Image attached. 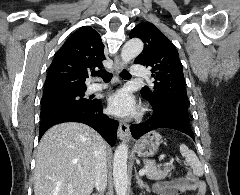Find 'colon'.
<instances>
[{
    "label": "colon",
    "instance_id": "5ec220e1",
    "mask_svg": "<svg viewBox=\"0 0 240 195\" xmlns=\"http://www.w3.org/2000/svg\"><path fill=\"white\" fill-rule=\"evenodd\" d=\"M186 180L190 181L191 183H193L194 187H202V180H198V178H196L195 173H191V168L187 167L186 168Z\"/></svg>",
    "mask_w": 240,
    "mask_h": 195
}]
</instances>
